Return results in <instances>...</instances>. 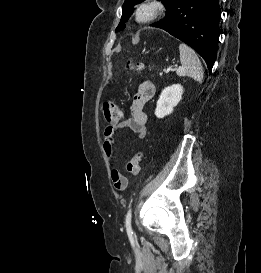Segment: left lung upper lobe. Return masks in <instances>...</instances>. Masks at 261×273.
<instances>
[{
	"mask_svg": "<svg viewBox=\"0 0 261 273\" xmlns=\"http://www.w3.org/2000/svg\"><path fill=\"white\" fill-rule=\"evenodd\" d=\"M144 0H125L122 6V18L119 25L116 28L117 31H121L125 28V22L128 20L129 16L134 10V6L138 3H141ZM166 8H169L175 0H161Z\"/></svg>",
	"mask_w": 261,
	"mask_h": 273,
	"instance_id": "obj_1",
	"label": "left lung upper lobe"
}]
</instances>
